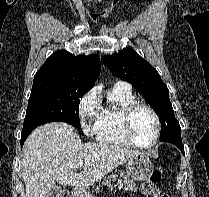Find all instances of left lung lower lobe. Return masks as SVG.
Instances as JSON below:
<instances>
[{"instance_id":"obj_1","label":"left lung lower lobe","mask_w":209,"mask_h":197,"mask_svg":"<svg viewBox=\"0 0 209 197\" xmlns=\"http://www.w3.org/2000/svg\"><path fill=\"white\" fill-rule=\"evenodd\" d=\"M164 142H169V143H172V144L176 145L184 155V145L182 144L181 139H172V140H167V141H164Z\"/></svg>"}]
</instances>
